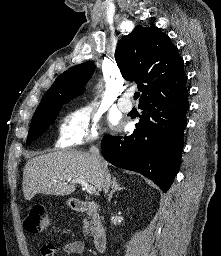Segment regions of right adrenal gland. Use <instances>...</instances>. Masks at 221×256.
Here are the masks:
<instances>
[{"label": "right adrenal gland", "mask_w": 221, "mask_h": 256, "mask_svg": "<svg viewBox=\"0 0 221 256\" xmlns=\"http://www.w3.org/2000/svg\"><path fill=\"white\" fill-rule=\"evenodd\" d=\"M124 189V187H121L118 183H117V179L116 177H113L112 179V190L110 192V194L108 195V201H110L112 199L113 194L115 193V191H120Z\"/></svg>", "instance_id": "1"}]
</instances>
